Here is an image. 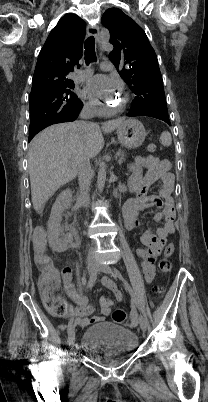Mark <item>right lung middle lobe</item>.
Wrapping results in <instances>:
<instances>
[{
  "instance_id": "obj_1",
  "label": "right lung middle lobe",
  "mask_w": 208,
  "mask_h": 402,
  "mask_svg": "<svg viewBox=\"0 0 208 402\" xmlns=\"http://www.w3.org/2000/svg\"><path fill=\"white\" fill-rule=\"evenodd\" d=\"M72 80L42 84L38 90L30 93V119L45 114L72 112L82 102L73 92Z\"/></svg>"
}]
</instances>
